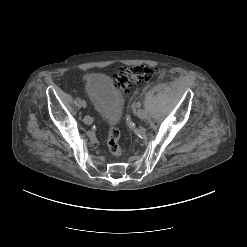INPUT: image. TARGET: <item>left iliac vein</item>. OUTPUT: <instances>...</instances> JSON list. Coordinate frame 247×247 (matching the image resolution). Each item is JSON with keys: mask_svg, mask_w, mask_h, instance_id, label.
Instances as JSON below:
<instances>
[{"mask_svg": "<svg viewBox=\"0 0 247 247\" xmlns=\"http://www.w3.org/2000/svg\"><path fill=\"white\" fill-rule=\"evenodd\" d=\"M134 111H135V114L140 118V119H142V120H146L147 118H148V115L145 113L144 115H140L139 113H138V111H136L135 109H134Z\"/></svg>", "mask_w": 247, "mask_h": 247, "instance_id": "obj_1", "label": "left iliac vein"}]
</instances>
